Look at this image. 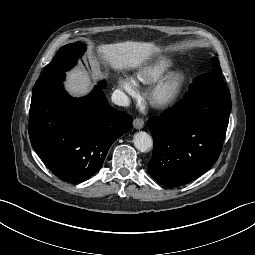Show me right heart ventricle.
I'll return each instance as SVG.
<instances>
[{"label":"right heart ventricle","mask_w":255,"mask_h":255,"mask_svg":"<svg viewBox=\"0 0 255 255\" xmlns=\"http://www.w3.org/2000/svg\"><path fill=\"white\" fill-rule=\"evenodd\" d=\"M172 66L171 59L160 57L141 68L137 73V80L144 84L154 83L166 74Z\"/></svg>","instance_id":"e07e8e85"}]
</instances>
